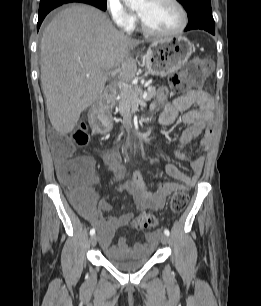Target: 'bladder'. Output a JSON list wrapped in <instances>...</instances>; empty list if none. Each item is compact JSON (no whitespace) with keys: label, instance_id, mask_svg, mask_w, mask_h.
I'll return each instance as SVG.
<instances>
[{"label":"bladder","instance_id":"1","mask_svg":"<svg viewBox=\"0 0 261 306\" xmlns=\"http://www.w3.org/2000/svg\"><path fill=\"white\" fill-rule=\"evenodd\" d=\"M152 257L150 248L119 247L116 253H105V259L115 268L132 272L144 266Z\"/></svg>","mask_w":261,"mask_h":306}]
</instances>
